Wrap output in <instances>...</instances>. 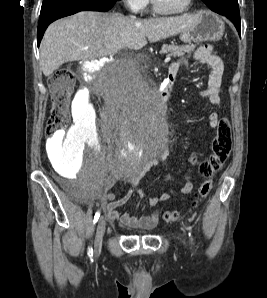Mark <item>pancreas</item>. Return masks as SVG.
Here are the masks:
<instances>
[{
    "label": "pancreas",
    "instance_id": "cf45deb5",
    "mask_svg": "<svg viewBox=\"0 0 267 298\" xmlns=\"http://www.w3.org/2000/svg\"><path fill=\"white\" fill-rule=\"evenodd\" d=\"M193 50V47L190 45H173V44H164L162 46L161 52H168V56H174V57H181L185 53H188Z\"/></svg>",
    "mask_w": 267,
    "mask_h": 298
}]
</instances>
